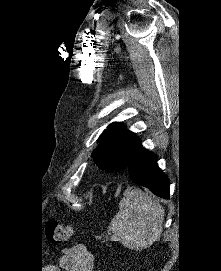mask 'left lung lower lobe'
Segmentation results:
<instances>
[{"label":"left lung lower lobe","instance_id":"0a47b994","mask_svg":"<svg viewBox=\"0 0 221 271\" xmlns=\"http://www.w3.org/2000/svg\"><path fill=\"white\" fill-rule=\"evenodd\" d=\"M126 170L133 182L147 187L161 198L169 199V179L159 169L156 155L143 148L142 145L133 154Z\"/></svg>","mask_w":221,"mask_h":271}]
</instances>
